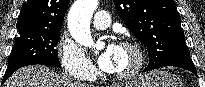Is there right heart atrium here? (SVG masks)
<instances>
[{
  "instance_id": "d8ad5b80",
  "label": "right heart atrium",
  "mask_w": 205,
  "mask_h": 87,
  "mask_svg": "<svg viewBox=\"0 0 205 87\" xmlns=\"http://www.w3.org/2000/svg\"><path fill=\"white\" fill-rule=\"evenodd\" d=\"M57 52L63 69L70 77L90 79L96 74L89 58L69 36H61Z\"/></svg>"
}]
</instances>
